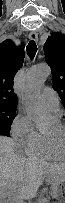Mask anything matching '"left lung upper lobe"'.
I'll use <instances>...</instances> for the list:
<instances>
[{
    "mask_svg": "<svg viewBox=\"0 0 65 203\" xmlns=\"http://www.w3.org/2000/svg\"><path fill=\"white\" fill-rule=\"evenodd\" d=\"M44 54L54 78L53 88L65 102V36L51 34L44 45Z\"/></svg>",
    "mask_w": 65,
    "mask_h": 203,
    "instance_id": "left-lung-upper-lobe-1",
    "label": "left lung upper lobe"
}]
</instances>
